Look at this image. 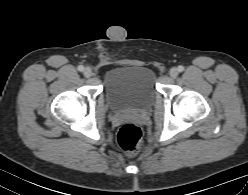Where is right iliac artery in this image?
Wrapping results in <instances>:
<instances>
[{
	"instance_id": "1",
	"label": "right iliac artery",
	"mask_w": 248,
	"mask_h": 195,
	"mask_svg": "<svg viewBox=\"0 0 248 195\" xmlns=\"http://www.w3.org/2000/svg\"><path fill=\"white\" fill-rule=\"evenodd\" d=\"M78 70L82 72L84 70V67L82 65H79Z\"/></svg>"
}]
</instances>
